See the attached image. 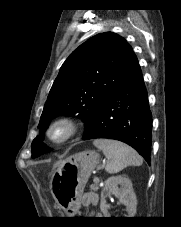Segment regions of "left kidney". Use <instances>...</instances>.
<instances>
[{"label": "left kidney", "mask_w": 181, "mask_h": 227, "mask_svg": "<svg viewBox=\"0 0 181 227\" xmlns=\"http://www.w3.org/2000/svg\"><path fill=\"white\" fill-rule=\"evenodd\" d=\"M120 185V188L118 187ZM114 194L121 204L126 207L125 217H134L136 214L137 199L133 190L132 182L125 175L113 176L105 181V186L101 192L100 209L104 217H110L108 209L110 205L106 202L107 194Z\"/></svg>", "instance_id": "5707ae66"}]
</instances>
